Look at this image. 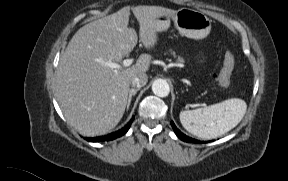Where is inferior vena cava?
<instances>
[{
    "mask_svg": "<svg viewBox=\"0 0 288 181\" xmlns=\"http://www.w3.org/2000/svg\"><path fill=\"white\" fill-rule=\"evenodd\" d=\"M147 82L148 76L145 73H141L132 79L131 84L133 87L141 88L145 86Z\"/></svg>",
    "mask_w": 288,
    "mask_h": 181,
    "instance_id": "inferior-vena-cava-1",
    "label": "inferior vena cava"
}]
</instances>
